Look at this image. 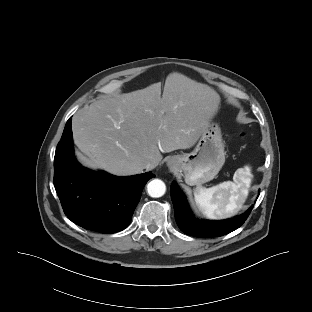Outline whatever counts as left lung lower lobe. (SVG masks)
<instances>
[{"label":"left lung lower lobe","mask_w":312,"mask_h":312,"mask_svg":"<svg viewBox=\"0 0 312 312\" xmlns=\"http://www.w3.org/2000/svg\"><path fill=\"white\" fill-rule=\"evenodd\" d=\"M171 198L176 222L181 231L200 238L219 237L236 230L245 222L253 209L251 206L244 214L227 220H199L190 212L184 194L175 182L171 185Z\"/></svg>","instance_id":"left-lung-lower-lobe-1"}]
</instances>
